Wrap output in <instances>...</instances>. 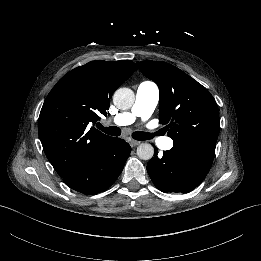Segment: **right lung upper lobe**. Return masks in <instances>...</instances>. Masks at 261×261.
I'll use <instances>...</instances> for the list:
<instances>
[{
  "label": "right lung upper lobe",
  "instance_id": "cb5924a9",
  "mask_svg": "<svg viewBox=\"0 0 261 261\" xmlns=\"http://www.w3.org/2000/svg\"><path fill=\"white\" fill-rule=\"evenodd\" d=\"M136 68L129 60L91 61L68 72L50 91L38 132L48 160L62 178L98 156L112 139L91 126L107 115L113 92Z\"/></svg>",
  "mask_w": 261,
  "mask_h": 261
}]
</instances>
